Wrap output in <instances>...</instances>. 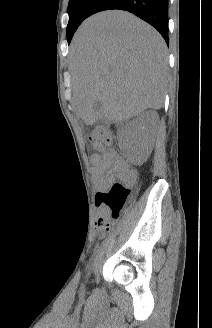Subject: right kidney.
Masks as SVG:
<instances>
[{
    "label": "right kidney",
    "mask_w": 212,
    "mask_h": 328,
    "mask_svg": "<svg viewBox=\"0 0 212 328\" xmlns=\"http://www.w3.org/2000/svg\"><path fill=\"white\" fill-rule=\"evenodd\" d=\"M159 116L156 111H146L125 126L131 150L138 153L146 145L150 135L156 132Z\"/></svg>",
    "instance_id": "right-kidney-1"
}]
</instances>
